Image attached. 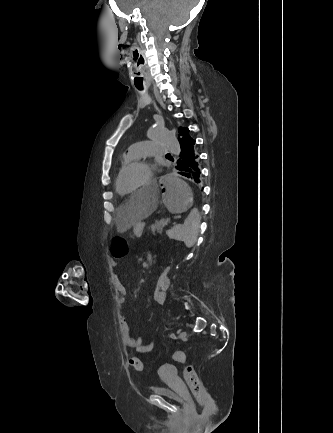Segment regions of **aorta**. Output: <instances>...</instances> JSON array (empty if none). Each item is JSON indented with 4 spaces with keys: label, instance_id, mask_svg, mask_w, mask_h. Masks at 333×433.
Returning a JSON list of instances; mask_svg holds the SVG:
<instances>
[{
    "label": "aorta",
    "instance_id": "aorta-1",
    "mask_svg": "<svg viewBox=\"0 0 333 433\" xmlns=\"http://www.w3.org/2000/svg\"><path fill=\"white\" fill-rule=\"evenodd\" d=\"M147 138L153 142L166 144L170 152L178 156L180 154V144L178 140L162 126H155L147 131Z\"/></svg>",
    "mask_w": 333,
    "mask_h": 433
}]
</instances>
